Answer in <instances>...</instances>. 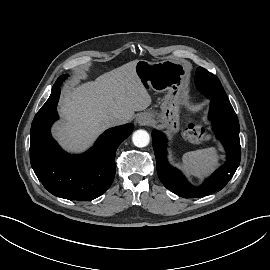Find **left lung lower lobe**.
Returning <instances> with one entry per match:
<instances>
[{
	"label": "left lung lower lobe",
	"instance_id": "1",
	"mask_svg": "<svg viewBox=\"0 0 270 270\" xmlns=\"http://www.w3.org/2000/svg\"><path fill=\"white\" fill-rule=\"evenodd\" d=\"M209 118L217 138L221 140L226 150L227 162L200 187L191 186L178 169L168 164L165 136L159 131L152 133L158 176L167 189L181 197L197 198L220 191L239 166L241 159L239 121L230 102L211 100Z\"/></svg>",
	"mask_w": 270,
	"mask_h": 270
}]
</instances>
